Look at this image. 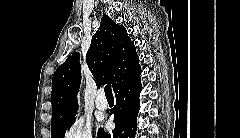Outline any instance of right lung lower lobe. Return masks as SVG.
Here are the masks:
<instances>
[{"label":"right lung lower lobe","instance_id":"right-lung-lower-lobe-1","mask_svg":"<svg viewBox=\"0 0 240 138\" xmlns=\"http://www.w3.org/2000/svg\"><path fill=\"white\" fill-rule=\"evenodd\" d=\"M140 74L117 87L115 92L116 106L111 110L116 126L111 132L98 130L97 138H134L139 111V94L141 92Z\"/></svg>","mask_w":240,"mask_h":138}]
</instances>
